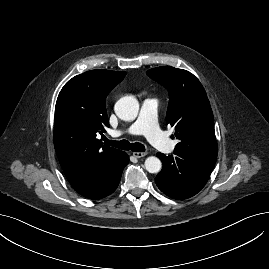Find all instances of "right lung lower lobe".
I'll return each mask as SVG.
<instances>
[{"instance_id":"98d812e1","label":"right lung lower lobe","mask_w":269,"mask_h":269,"mask_svg":"<svg viewBox=\"0 0 269 269\" xmlns=\"http://www.w3.org/2000/svg\"><path fill=\"white\" fill-rule=\"evenodd\" d=\"M128 162L129 156L124 152L121 157L102 172L71 183V185L79 194L86 198H104L117 189L123 169Z\"/></svg>"}]
</instances>
